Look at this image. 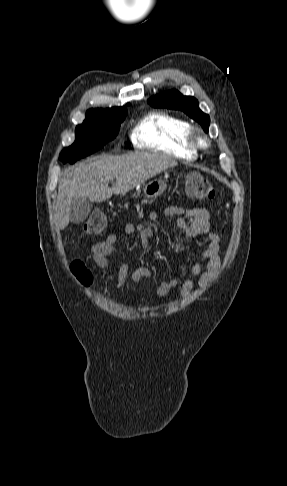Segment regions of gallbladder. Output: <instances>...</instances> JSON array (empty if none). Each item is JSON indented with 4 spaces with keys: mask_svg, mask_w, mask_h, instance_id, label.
<instances>
[{
    "mask_svg": "<svg viewBox=\"0 0 287 486\" xmlns=\"http://www.w3.org/2000/svg\"><path fill=\"white\" fill-rule=\"evenodd\" d=\"M92 203L88 198H74L70 205V220L74 224L82 223L92 209Z\"/></svg>",
    "mask_w": 287,
    "mask_h": 486,
    "instance_id": "gallbladder-1",
    "label": "gallbladder"
}]
</instances>
